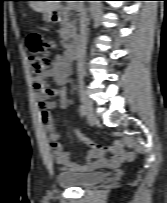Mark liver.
Listing matches in <instances>:
<instances>
[{"instance_id":"liver-1","label":"liver","mask_w":167,"mask_h":203,"mask_svg":"<svg viewBox=\"0 0 167 203\" xmlns=\"http://www.w3.org/2000/svg\"><path fill=\"white\" fill-rule=\"evenodd\" d=\"M29 6L36 12H52L59 7V1H30Z\"/></svg>"}]
</instances>
